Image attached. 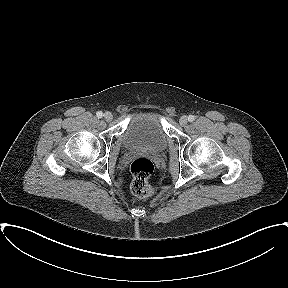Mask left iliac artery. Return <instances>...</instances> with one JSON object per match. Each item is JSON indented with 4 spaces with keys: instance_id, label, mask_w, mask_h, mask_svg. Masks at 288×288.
Instances as JSON below:
<instances>
[{
    "instance_id": "obj_1",
    "label": "left iliac artery",
    "mask_w": 288,
    "mask_h": 288,
    "mask_svg": "<svg viewBox=\"0 0 288 288\" xmlns=\"http://www.w3.org/2000/svg\"><path fill=\"white\" fill-rule=\"evenodd\" d=\"M195 120V116L194 115H189L188 116V121L193 122Z\"/></svg>"
}]
</instances>
